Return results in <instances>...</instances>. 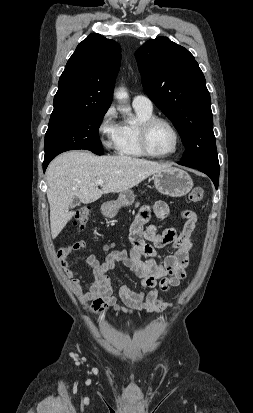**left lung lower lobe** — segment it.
Wrapping results in <instances>:
<instances>
[{"label":"left lung lower lobe","instance_id":"left-lung-lower-lobe-1","mask_svg":"<svg viewBox=\"0 0 253 413\" xmlns=\"http://www.w3.org/2000/svg\"><path fill=\"white\" fill-rule=\"evenodd\" d=\"M179 164V163H178ZM181 165V164H180ZM194 169H197L205 174H207L211 180L213 181L216 189L218 188V183H219V170H212V169H206V168H195L191 167Z\"/></svg>","mask_w":253,"mask_h":413}]
</instances>
